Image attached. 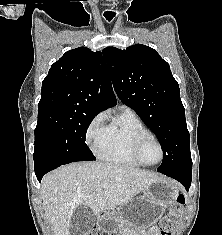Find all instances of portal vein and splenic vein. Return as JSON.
<instances>
[{"label": "portal vein and splenic vein", "mask_w": 222, "mask_h": 235, "mask_svg": "<svg viewBox=\"0 0 222 235\" xmlns=\"http://www.w3.org/2000/svg\"><path fill=\"white\" fill-rule=\"evenodd\" d=\"M101 187H102V188H107V187H108V184H107V183H103V184L101 185Z\"/></svg>", "instance_id": "portal-vein-and-splenic-vein-1"}]
</instances>
